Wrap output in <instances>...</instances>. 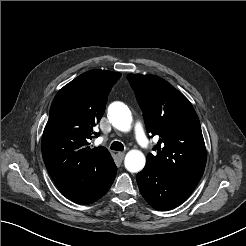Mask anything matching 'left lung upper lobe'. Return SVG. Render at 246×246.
<instances>
[{
	"label": "left lung upper lobe",
	"mask_w": 246,
	"mask_h": 246,
	"mask_svg": "<svg viewBox=\"0 0 246 246\" xmlns=\"http://www.w3.org/2000/svg\"><path fill=\"white\" fill-rule=\"evenodd\" d=\"M143 111L147 131L157 135L156 154L145 168L199 181L206 165V148L198 116L190 101L155 75L128 74Z\"/></svg>",
	"instance_id": "1"
}]
</instances>
